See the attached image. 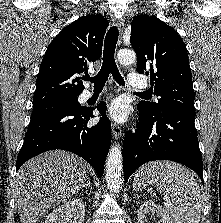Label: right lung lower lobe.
<instances>
[{"mask_svg":"<svg viewBox=\"0 0 221 223\" xmlns=\"http://www.w3.org/2000/svg\"><path fill=\"white\" fill-rule=\"evenodd\" d=\"M97 109L102 115L100 122L88 126L93 109L58 110L31 117L24 143L16 163L18 170L28 159L48 150L63 149L84 158L99 177L111 141V123L105 115L106 105L101 102Z\"/></svg>","mask_w":221,"mask_h":223,"instance_id":"1","label":"right lung lower lobe"}]
</instances>
